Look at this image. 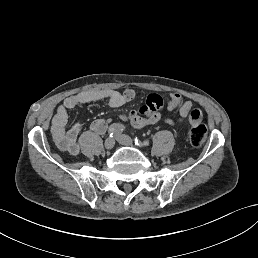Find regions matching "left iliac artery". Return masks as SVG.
Instances as JSON below:
<instances>
[{"instance_id": "obj_1", "label": "left iliac artery", "mask_w": 258, "mask_h": 258, "mask_svg": "<svg viewBox=\"0 0 258 258\" xmlns=\"http://www.w3.org/2000/svg\"><path fill=\"white\" fill-rule=\"evenodd\" d=\"M134 143H135V145L138 146V147H147V146H149V144H150V142H149L148 140H145V141L141 142V141L138 139V137H135Z\"/></svg>"}]
</instances>
